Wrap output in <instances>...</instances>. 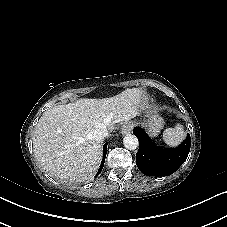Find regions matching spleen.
<instances>
[{
	"mask_svg": "<svg viewBox=\"0 0 227 227\" xmlns=\"http://www.w3.org/2000/svg\"><path fill=\"white\" fill-rule=\"evenodd\" d=\"M185 137V132L181 124H177L175 128H167L163 132V140L169 146H177Z\"/></svg>",
	"mask_w": 227,
	"mask_h": 227,
	"instance_id": "obj_1",
	"label": "spleen"
}]
</instances>
